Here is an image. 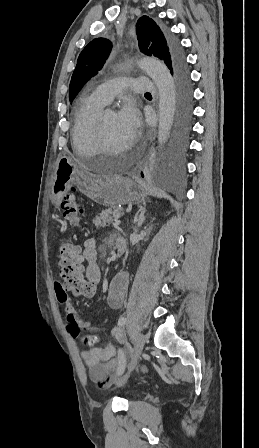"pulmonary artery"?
Here are the masks:
<instances>
[{
  "label": "pulmonary artery",
  "instance_id": "e3ab8cb5",
  "mask_svg": "<svg viewBox=\"0 0 259 448\" xmlns=\"http://www.w3.org/2000/svg\"><path fill=\"white\" fill-rule=\"evenodd\" d=\"M128 78L119 77L112 81L103 83L96 87L95 94L96 96L105 104H108L112 101V99L117 95L120 91V88L115 86V82L118 80H127Z\"/></svg>",
  "mask_w": 259,
  "mask_h": 448
}]
</instances>
